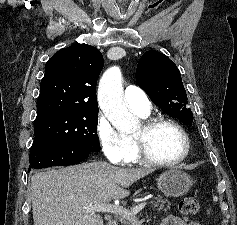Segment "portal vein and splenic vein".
Returning <instances> with one entry per match:
<instances>
[{
  "mask_svg": "<svg viewBox=\"0 0 237 225\" xmlns=\"http://www.w3.org/2000/svg\"><path fill=\"white\" fill-rule=\"evenodd\" d=\"M145 206H146V202H142L134 206L132 210L129 211L128 209L121 206H115L109 203H101V204H96L92 207H89L88 210H94L97 212H108V213L118 214L124 217H130L140 212Z\"/></svg>",
  "mask_w": 237,
  "mask_h": 225,
  "instance_id": "portal-vein-and-splenic-vein-1",
  "label": "portal vein and splenic vein"
}]
</instances>
